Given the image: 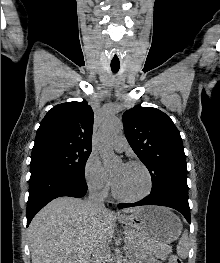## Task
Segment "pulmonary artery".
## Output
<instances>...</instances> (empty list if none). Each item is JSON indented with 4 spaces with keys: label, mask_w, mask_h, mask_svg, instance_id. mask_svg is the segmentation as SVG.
<instances>
[{
    "label": "pulmonary artery",
    "mask_w": 220,
    "mask_h": 263,
    "mask_svg": "<svg viewBox=\"0 0 220 263\" xmlns=\"http://www.w3.org/2000/svg\"><path fill=\"white\" fill-rule=\"evenodd\" d=\"M113 146L116 150L123 151L128 147L127 139L124 135H119L114 139Z\"/></svg>",
    "instance_id": "pulmonary-artery-1"
}]
</instances>
